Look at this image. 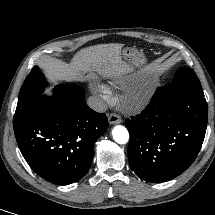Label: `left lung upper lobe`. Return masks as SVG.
Returning <instances> with one entry per match:
<instances>
[{
	"mask_svg": "<svg viewBox=\"0 0 215 215\" xmlns=\"http://www.w3.org/2000/svg\"><path fill=\"white\" fill-rule=\"evenodd\" d=\"M173 83L191 88H200L201 84L195 72L187 67H183L176 71Z\"/></svg>",
	"mask_w": 215,
	"mask_h": 215,
	"instance_id": "5c2ea615",
	"label": "left lung upper lobe"
}]
</instances>
